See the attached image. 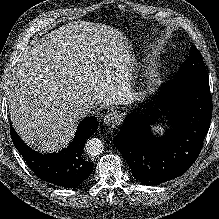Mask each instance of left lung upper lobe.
I'll use <instances>...</instances> for the list:
<instances>
[{
    "mask_svg": "<svg viewBox=\"0 0 219 219\" xmlns=\"http://www.w3.org/2000/svg\"><path fill=\"white\" fill-rule=\"evenodd\" d=\"M179 76H201L208 78L202 56L195 46L191 47L188 59L180 66L176 77Z\"/></svg>",
    "mask_w": 219,
    "mask_h": 219,
    "instance_id": "5c2ea615",
    "label": "left lung upper lobe"
}]
</instances>
